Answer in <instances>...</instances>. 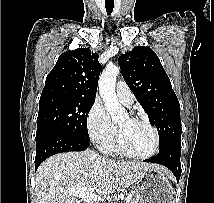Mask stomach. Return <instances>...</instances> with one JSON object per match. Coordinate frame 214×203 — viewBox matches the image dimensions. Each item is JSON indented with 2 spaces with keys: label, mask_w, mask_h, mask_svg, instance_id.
Segmentation results:
<instances>
[{
  "label": "stomach",
  "mask_w": 214,
  "mask_h": 203,
  "mask_svg": "<svg viewBox=\"0 0 214 203\" xmlns=\"http://www.w3.org/2000/svg\"><path fill=\"white\" fill-rule=\"evenodd\" d=\"M134 191L137 203H173L174 190L158 166H146L139 171Z\"/></svg>",
  "instance_id": "0dacf381"
}]
</instances>
